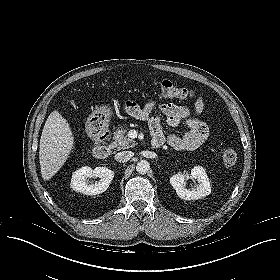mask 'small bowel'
I'll use <instances>...</instances> for the list:
<instances>
[{
    "label": "small bowel",
    "instance_id": "small-bowel-1",
    "mask_svg": "<svg viewBox=\"0 0 280 280\" xmlns=\"http://www.w3.org/2000/svg\"><path fill=\"white\" fill-rule=\"evenodd\" d=\"M204 106L202 94L198 95L192 109L172 103H164L158 106L169 126L178 127L182 123L187 126L188 130L180 135H166L164 133L160 117L152 115V111L157 107L155 102H149L143 107L134 102H128L126 112L136 119L148 121L153 138H161L165 143L177 150L191 151L200 147L209 138L208 126L199 117L204 110Z\"/></svg>",
    "mask_w": 280,
    "mask_h": 280
}]
</instances>
